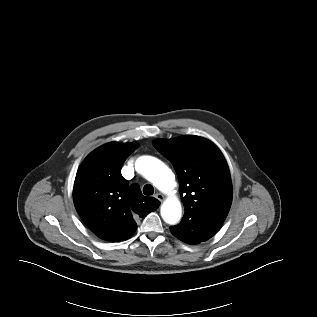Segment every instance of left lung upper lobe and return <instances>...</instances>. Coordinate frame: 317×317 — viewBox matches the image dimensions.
Returning <instances> with one entry per match:
<instances>
[{
    "label": "left lung upper lobe",
    "instance_id": "left-lung-upper-lobe-1",
    "mask_svg": "<svg viewBox=\"0 0 317 317\" xmlns=\"http://www.w3.org/2000/svg\"><path fill=\"white\" fill-rule=\"evenodd\" d=\"M154 147L173 165L184 205L181 227L196 219L224 222L232 202L229 168L221 151L209 140L185 135L156 139Z\"/></svg>",
    "mask_w": 317,
    "mask_h": 317
}]
</instances>
